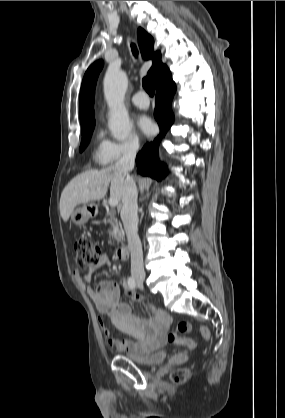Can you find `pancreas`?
<instances>
[{"label": "pancreas", "instance_id": "1", "mask_svg": "<svg viewBox=\"0 0 285 418\" xmlns=\"http://www.w3.org/2000/svg\"><path fill=\"white\" fill-rule=\"evenodd\" d=\"M105 224H110V228L107 232L109 236L114 238L117 243L124 240L122 227L118 223V220L115 218L113 213L110 214V217Z\"/></svg>", "mask_w": 285, "mask_h": 418}]
</instances>
